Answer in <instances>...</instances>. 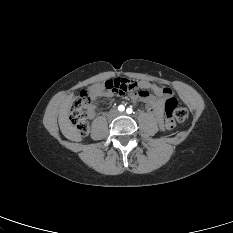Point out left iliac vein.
I'll return each instance as SVG.
<instances>
[{
  "instance_id": "1",
  "label": "left iliac vein",
  "mask_w": 233,
  "mask_h": 233,
  "mask_svg": "<svg viewBox=\"0 0 233 233\" xmlns=\"http://www.w3.org/2000/svg\"><path fill=\"white\" fill-rule=\"evenodd\" d=\"M120 114H121V115H123V114H124V112H121Z\"/></svg>"
}]
</instances>
